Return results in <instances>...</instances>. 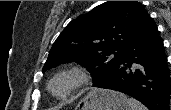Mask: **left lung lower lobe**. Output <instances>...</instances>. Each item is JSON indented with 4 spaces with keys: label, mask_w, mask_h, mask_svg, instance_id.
<instances>
[{
    "label": "left lung lower lobe",
    "mask_w": 171,
    "mask_h": 110,
    "mask_svg": "<svg viewBox=\"0 0 171 110\" xmlns=\"http://www.w3.org/2000/svg\"><path fill=\"white\" fill-rule=\"evenodd\" d=\"M95 86L128 94L149 110H170V70L163 41L151 17L114 71Z\"/></svg>",
    "instance_id": "obj_1"
}]
</instances>
